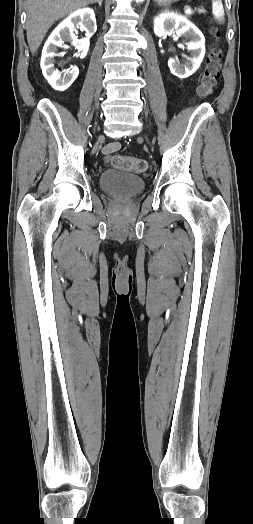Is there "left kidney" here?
<instances>
[{
  "instance_id": "1",
  "label": "left kidney",
  "mask_w": 253,
  "mask_h": 524,
  "mask_svg": "<svg viewBox=\"0 0 253 524\" xmlns=\"http://www.w3.org/2000/svg\"><path fill=\"white\" fill-rule=\"evenodd\" d=\"M174 32L178 36L189 39L186 45L191 57L185 64H181L175 58H170L168 66L171 73L175 76L187 78L196 72L203 61L205 56V38L194 24L177 13L165 11L155 17L154 33L158 37L167 36Z\"/></svg>"
}]
</instances>
